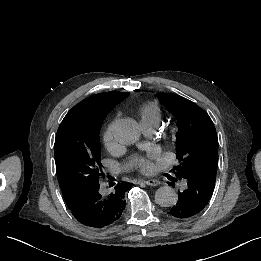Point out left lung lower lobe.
<instances>
[{
  "instance_id": "obj_1",
  "label": "left lung lower lobe",
  "mask_w": 261,
  "mask_h": 261,
  "mask_svg": "<svg viewBox=\"0 0 261 261\" xmlns=\"http://www.w3.org/2000/svg\"><path fill=\"white\" fill-rule=\"evenodd\" d=\"M180 178L185 184L169 214L176 218L192 217L207 205L213 194L215 181L204 179L194 173L183 174Z\"/></svg>"
}]
</instances>
